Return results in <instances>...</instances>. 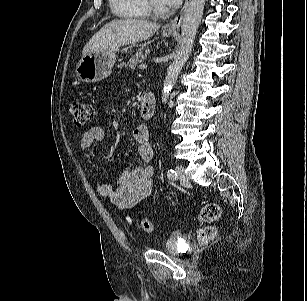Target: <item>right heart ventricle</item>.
Returning a JSON list of instances; mask_svg holds the SVG:
<instances>
[{
  "label": "right heart ventricle",
  "instance_id": "obj_1",
  "mask_svg": "<svg viewBox=\"0 0 307 301\" xmlns=\"http://www.w3.org/2000/svg\"><path fill=\"white\" fill-rule=\"evenodd\" d=\"M112 12L121 18L145 19L148 11L143 0H109Z\"/></svg>",
  "mask_w": 307,
  "mask_h": 301
}]
</instances>
